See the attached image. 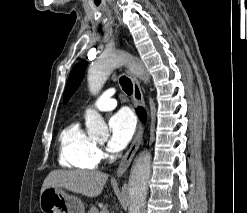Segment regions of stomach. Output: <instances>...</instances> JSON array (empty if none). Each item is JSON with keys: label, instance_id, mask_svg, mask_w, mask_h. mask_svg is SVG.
Instances as JSON below:
<instances>
[{"label": "stomach", "instance_id": "obj_1", "mask_svg": "<svg viewBox=\"0 0 247 213\" xmlns=\"http://www.w3.org/2000/svg\"><path fill=\"white\" fill-rule=\"evenodd\" d=\"M39 205L43 213H85L83 202L59 187L41 191Z\"/></svg>", "mask_w": 247, "mask_h": 213}]
</instances>
